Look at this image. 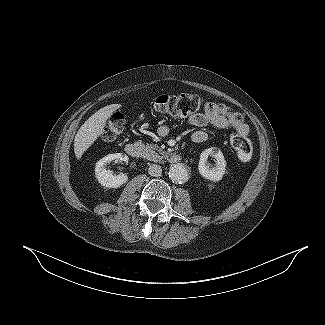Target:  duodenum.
I'll use <instances>...</instances> for the list:
<instances>
[{"mask_svg": "<svg viewBox=\"0 0 325 325\" xmlns=\"http://www.w3.org/2000/svg\"><path fill=\"white\" fill-rule=\"evenodd\" d=\"M125 151L132 158H140L141 155H142L141 146L139 144H137V143H128L125 146ZM181 160H182L181 155H179L177 153H173L169 157V161L171 163H178Z\"/></svg>", "mask_w": 325, "mask_h": 325, "instance_id": "duodenum-1", "label": "duodenum"}]
</instances>
